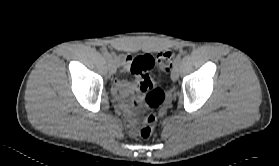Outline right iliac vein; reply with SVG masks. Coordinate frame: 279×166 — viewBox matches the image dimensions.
Returning <instances> with one entry per match:
<instances>
[{"label": "right iliac vein", "mask_w": 279, "mask_h": 166, "mask_svg": "<svg viewBox=\"0 0 279 166\" xmlns=\"http://www.w3.org/2000/svg\"><path fill=\"white\" fill-rule=\"evenodd\" d=\"M108 70L110 72V74H115L116 72V65L113 61H109L108 62Z\"/></svg>", "instance_id": "63e3f726"}]
</instances>
